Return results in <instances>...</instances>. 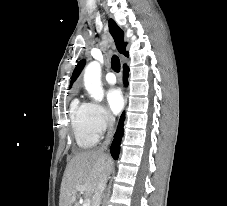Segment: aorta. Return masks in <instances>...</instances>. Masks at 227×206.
I'll list each match as a JSON object with an SVG mask.
<instances>
[{"label": "aorta", "mask_w": 227, "mask_h": 206, "mask_svg": "<svg viewBox=\"0 0 227 206\" xmlns=\"http://www.w3.org/2000/svg\"><path fill=\"white\" fill-rule=\"evenodd\" d=\"M84 86L89 95L97 102L104 98V90L101 83V67L96 61L89 63L84 72Z\"/></svg>", "instance_id": "obj_1"}]
</instances>
